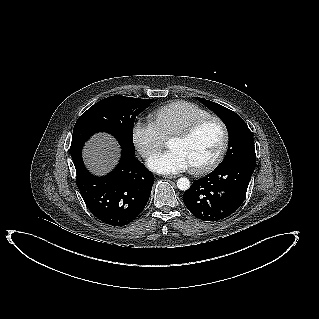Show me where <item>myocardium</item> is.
<instances>
[{"mask_svg": "<svg viewBox=\"0 0 319 319\" xmlns=\"http://www.w3.org/2000/svg\"><path fill=\"white\" fill-rule=\"evenodd\" d=\"M210 122L216 123L221 130V146L216 156L210 162L202 166L190 167V172L195 175H203L213 171L224 159L229 145V131L226 124L220 118L210 115L194 120L189 125L169 137V141L172 139L186 140L190 138L200 127Z\"/></svg>", "mask_w": 319, "mask_h": 319, "instance_id": "myocardium-1", "label": "myocardium"}]
</instances>
